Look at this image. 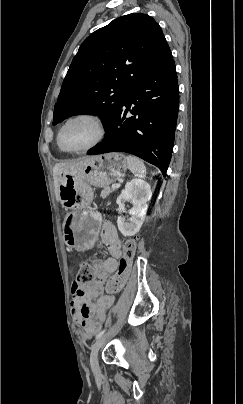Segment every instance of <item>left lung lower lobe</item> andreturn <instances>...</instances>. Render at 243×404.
<instances>
[{
    "instance_id": "obj_1",
    "label": "left lung lower lobe",
    "mask_w": 243,
    "mask_h": 404,
    "mask_svg": "<svg viewBox=\"0 0 243 404\" xmlns=\"http://www.w3.org/2000/svg\"><path fill=\"white\" fill-rule=\"evenodd\" d=\"M178 106L176 66L170 52L137 82L115 119L105 127L103 142L88 154L127 152L157 166L165 175L172 155ZM127 112L133 116L127 117Z\"/></svg>"
}]
</instances>
